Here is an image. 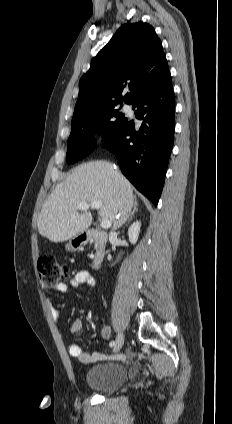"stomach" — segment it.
Wrapping results in <instances>:
<instances>
[{
	"label": "stomach",
	"instance_id": "stomach-1",
	"mask_svg": "<svg viewBox=\"0 0 232 424\" xmlns=\"http://www.w3.org/2000/svg\"><path fill=\"white\" fill-rule=\"evenodd\" d=\"M82 235L79 234L77 236H75L74 238H72L66 245H65V249L69 252H73L75 251L77 248H79L80 246L83 245V243L85 242V240L81 237Z\"/></svg>",
	"mask_w": 232,
	"mask_h": 424
}]
</instances>
